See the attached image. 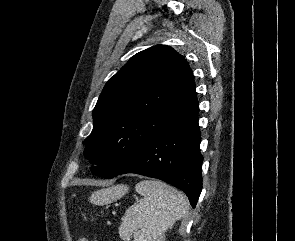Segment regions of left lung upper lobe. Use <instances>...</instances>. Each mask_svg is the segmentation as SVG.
Instances as JSON below:
<instances>
[{"label":"left lung upper lobe","mask_w":295,"mask_h":241,"mask_svg":"<svg viewBox=\"0 0 295 241\" xmlns=\"http://www.w3.org/2000/svg\"><path fill=\"white\" fill-rule=\"evenodd\" d=\"M198 107L193 73L182 55L156 45L134 55L106 83L84 140L92 172L110 178L155 136Z\"/></svg>","instance_id":"5c2ea615"}]
</instances>
